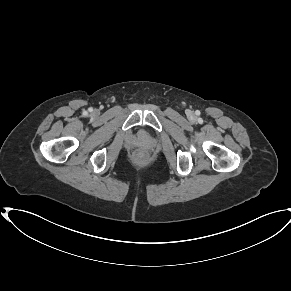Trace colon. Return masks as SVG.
<instances>
[{
	"instance_id": "1",
	"label": "colon",
	"mask_w": 291,
	"mask_h": 291,
	"mask_svg": "<svg viewBox=\"0 0 291 291\" xmlns=\"http://www.w3.org/2000/svg\"><path fill=\"white\" fill-rule=\"evenodd\" d=\"M138 157H139V158H142V157H143V154L138 155Z\"/></svg>"
}]
</instances>
